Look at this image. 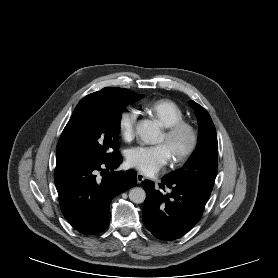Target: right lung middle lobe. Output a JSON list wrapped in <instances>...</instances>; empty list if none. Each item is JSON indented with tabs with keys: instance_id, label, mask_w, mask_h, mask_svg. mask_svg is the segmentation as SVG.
<instances>
[{
	"instance_id": "1",
	"label": "right lung middle lobe",
	"mask_w": 278,
	"mask_h": 278,
	"mask_svg": "<svg viewBox=\"0 0 278 278\" xmlns=\"http://www.w3.org/2000/svg\"><path fill=\"white\" fill-rule=\"evenodd\" d=\"M143 95L85 96L76 106L56 147V167L108 160L119 155L121 114Z\"/></svg>"
}]
</instances>
